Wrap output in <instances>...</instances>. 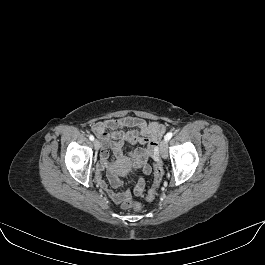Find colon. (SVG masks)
I'll return each mask as SVG.
<instances>
[{
	"label": "colon",
	"instance_id": "obj_1",
	"mask_svg": "<svg viewBox=\"0 0 265 265\" xmlns=\"http://www.w3.org/2000/svg\"><path fill=\"white\" fill-rule=\"evenodd\" d=\"M163 178V167L159 161V159L155 160L154 163V177H153V183H152V187L148 190L147 194H146V201L151 202L154 200L156 194H157V189L162 181ZM122 207L124 209H133V210H140L141 209V203L139 202H134V201H124L122 203Z\"/></svg>",
	"mask_w": 265,
	"mask_h": 265
}]
</instances>
